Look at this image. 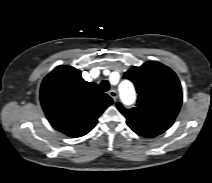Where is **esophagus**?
I'll return each instance as SVG.
<instances>
[{
    "instance_id": "obj_1",
    "label": "esophagus",
    "mask_w": 212,
    "mask_h": 183,
    "mask_svg": "<svg viewBox=\"0 0 212 183\" xmlns=\"http://www.w3.org/2000/svg\"><path fill=\"white\" fill-rule=\"evenodd\" d=\"M110 97L115 101L117 99V91L116 90H110L109 91Z\"/></svg>"
}]
</instances>
